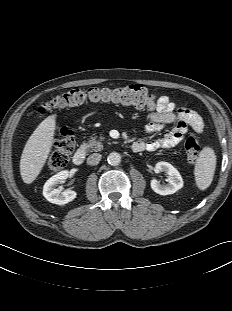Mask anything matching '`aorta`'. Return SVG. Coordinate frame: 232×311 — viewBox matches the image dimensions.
<instances>
[{
  "mask_svg": "<svg viewBox=\"0 0 232 311\" xmlns=\"http://www.w3.org/2000/svg\"><path fill=\"white\" fill-rule=\"evenodd\" d=\"M107 161L111 166H117L121 162V156L117 152H111L107 157Z\"/></svg>",
  "mask_w": 232,
  "mask_h": 311,
  "instance_id": "1",
  "label": "aorta"
}]
</instances>
